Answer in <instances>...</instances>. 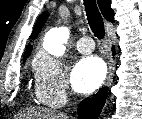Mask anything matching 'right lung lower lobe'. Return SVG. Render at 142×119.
Instances as JSON below:
<instances>
[{
  "instance_id": "right-lung-lower-lobe-1",
  "label": "right lung lower lobe",
  "mask_w": 142,
  "mask_h": 119,
  "mask_svg": "<svg viewBox=\"0 0 142 119\" xmlns=\"http://www.w3.org/2000/svg\"><path fill=\"white\" fill-rule=\"evenodd\" d=\"M107 92V88L104 87L91 98H86L85 100L81 101V103L78 106L79 119L98 118L105 104Z\"/></svg>"
}]
</instances>
